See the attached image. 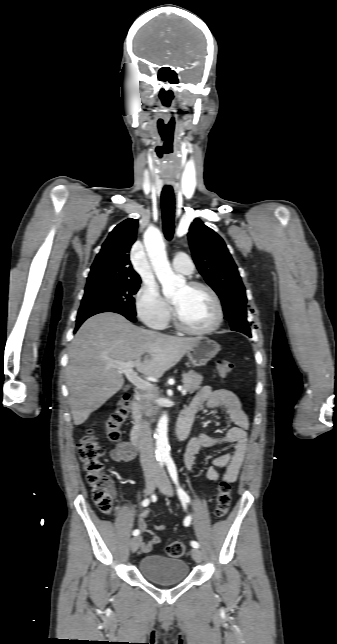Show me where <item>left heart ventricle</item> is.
Here are the masks:
<instances>
[{"label":"left heart ventricle","mask_w":337,"mask_h":644,"mask_svg":"<svg viewBox=\"0 0 337 644\" xmlns=\"http://www.w3.org/2000/svg\"><path fill=\"white\" fill-rule=\"evenodd\" d=\"M181 320L190 328L202 330L216 318V307L211 295L202 288L182 286L171 298Z\"/></svg>","instance_id":"b2bd125f"}]
</instances>
